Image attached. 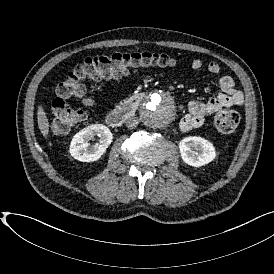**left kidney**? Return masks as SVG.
<instances>
[{
    "label": "left kidney",
    "instance_id": "left-kidney-1",
    "mask_svg": "<svg viewBox=\"0 0 274 274\" xmlns=\"http://www.w3.org/2000/svg\"><path fill=\"white\" fill-rule=\"evenodd\" d=\"M179 149L182 160L194 167L208 164L216 157L213 144L198 136H189L182 139L179 143Z\"/></svg>",
    "mask_w": 274,
    "mask_h": 274
}]
</instances>
